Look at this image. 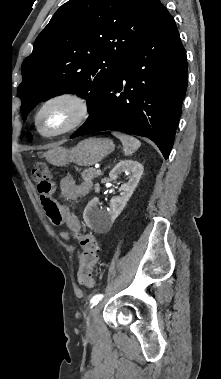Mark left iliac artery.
<instances>
[{"mask_svg":"<svg viewBox=\"0 0 221 379\" xmlns=\"http://www.w3.org/2000/svg\"><path fill=\"white\" fill-rule=\"evenodd\" d=\"M104 297L103 294H96L94 295L90 300V306L91 308L99 303V301Z\"/></svg>","mask_w":221,"mask_h":379,"instance_id":"obj_1","label":"left iliac artery"}]
</instances>
